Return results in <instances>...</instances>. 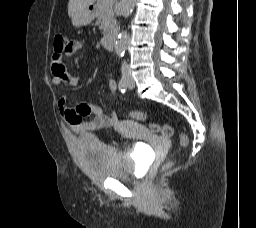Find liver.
<instances>
[{
    "mask_svg": "<svg viewBox=\"0 0 256 228\" xmlns=\"http://www.w3.org/2000/svg\"><path fill=\"white\" fill-rule=\"evenodd\" d=\"M95 0H69L68 3V14L70 17L81 8L92 5Z\"/></svg>",
    "mask_w": 256,
    "mask_h": 228,
    "instance_id": "obj_1",
    "label": "liver"
}]
</instances>
